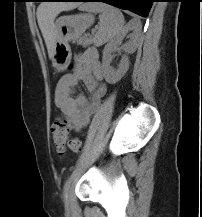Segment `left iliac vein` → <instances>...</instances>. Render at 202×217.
<instances>
[{
    "label": "left iliac vein",
    "instance_id": "1",
    "mask_svg": "<svg viewBox=\"0 0 202 217\" xmlns=\"http://www.w3.org/2000/svg\"><path fill=\"white\" fill-rule=\"evenodd\" d=\"M71 190H72V186H69L65 194L64 204L66 209H69L71 206Z\"/></svg>",
    "mask_w": 202,
    "mask_h": 217
}]
</instances>
